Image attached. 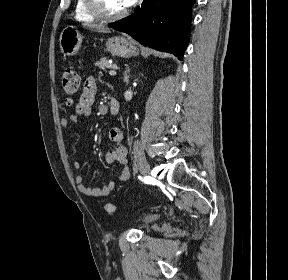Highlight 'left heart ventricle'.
Listing matches in <instances>:
<instances>
[{
  "label": "left heart ventricle",
  "instance_id": "b2bd125f",
  "mask_svg": "<svg viewBox=\"0 0 288 280\" xmlns=\"http://www.w3.org/2000/svg\"><path fill=\"white\" fill-rule=\"evenodd\" d=\"M103 8L107 13L116 14L125 9L122 0H101Z\"/></svg>",
  "mask_w": 288,
  "mask_h": 280
}]
</instances>
